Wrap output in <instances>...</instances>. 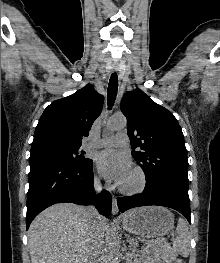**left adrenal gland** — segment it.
Instances as JSON below:
<instances>
[{
	"label": "left adrenal gland",
	"instance_id": "obj_1",
	"mask_svg": "<svg viewBox=\"0 0 220 263\" xmlns=\"http://www.w3.org/2000/svg\"><path fill=\"white\" fill-rule=\"evenodd\" d=\"M126 237H127V242L129 243L130 250L135 251L137 242L133 238H129V236L127 235Z\"/></svg>",
	"mask_w": 220,
	"mask_h": 263
}]
</instances>
